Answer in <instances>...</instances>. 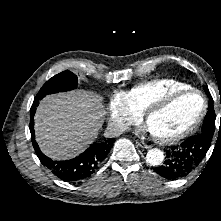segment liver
Segmentation results:
<instances>
[{"mask_svg":"<svg viewBox=\"0 0 221 221\" xmlns=\"http://www.w3.org/2000/svg\"><path fill=\"white\" fill-rule=\"evenodd\" d=\"M104 115L101 97L92 92L77 90L48 95L34 117L36 141L52 159L72 158L97 137Z\"/></svg>","mask_w":221,"mask_h":221,"instance_id":"1","label":"liver"}]
</instances>
